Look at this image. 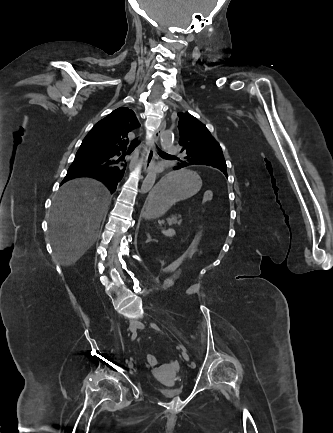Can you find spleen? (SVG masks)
Masks as SVG:
<instances>
[{
	"mask_svg": "<svg viewBox=\"0 0 333 433\" xmlns=\"http://www.w3.org/2000/svg\"><path fill=\"white\" fill-rule=\"evenodd\" d=\"M168 176H173V175H168ZM158 183H159V182H158ZM163 233H164L165 235H167V236H172V235L175 234V233H173L171 230L163 231Z\"/></svg>",
	"mask_w": 333,
	"mask_h": 433,
	"instance_id": "spleen-1",
	"label": "spleen"
}]
</instances>
